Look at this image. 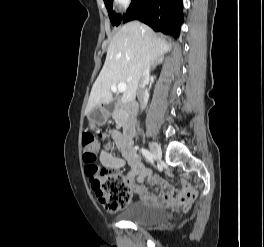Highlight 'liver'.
I'll return each instance as SVG.
<instances>
[{
    "instance_id": "liver-1",
    "label": "liver",
    "mask_w": 264,
    "mask_h": 247,
    "mask_svg": "<svg viewBox=\"0 0 264 247\" xmlns=\"http://www.w3.org/2000/svg\"><path fill=\"white\" fill-rule=\"evenodd\" d=\"M171 46L138 22L122 26L112 38L107 49L104 66L96 79L87 104V112L97 105L112 101L111 86L125 83L122 103L133 101L145 66L155 63Z\"/></svg>"
}]
</instances>
